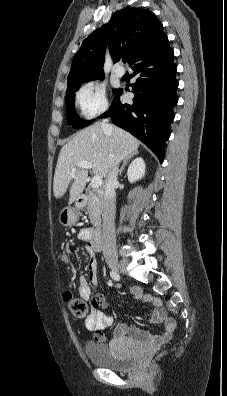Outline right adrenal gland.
I'll use <instances>...</instances> for the list:
<instances>
[{"mask_svg":"<svg viewBox=\"0 0 227 396\" xmlns=\"http://www.w3.org/2000/svg\"><path fill=\"white\" fill-rule=\"evenodd\" d=\"M137 154H138V151L136 150V151H134L133 153H131L130 155H128V156L123 160V165H122V167H121V169H120V171H119V175L122 174V172H123L125 166H126L127 163L130 161V159H131L132 157L136 156Z\"/></svg>","mask_w":227,"mask_h":396,"instance_id":"obj_1","label":"right adrenal gland"}]
</instances>
